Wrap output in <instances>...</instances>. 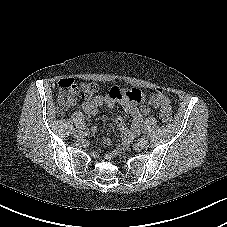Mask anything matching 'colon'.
Listing matches in <instances>:
<instances>
[{
    "label": "colon",
    "mask_w": 227,
    "mask_h": 227,
    "mask_svg": "<svg viewBox=\"0 0 227 227\" xmlns=\"http://www.w3.org/2000/svg\"><path fill=\"white\" fill-rule=\"evenodd\" d=\"M98 91V86L92 82L76 84L71 78L61 79L58 83L57 112L63 116L77 101L80 93L83 98L89 99ZM148 103L153 106H160L159 121L167 123L172 119L170 99L162 91H153L148 96Z\"/></svg>",
    "instance_id": "1"
}]
</instances>
